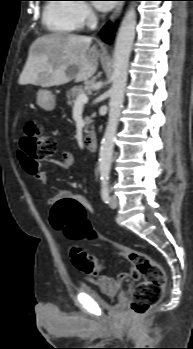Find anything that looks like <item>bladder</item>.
<instances>
[{
	"label": "bladder",
	"instance_id": "1",
	"mask_svg": "<svg viewBox=\"0 0 193 349\" xmlns=\"http://www.w3.org/2000/svg\"><path fill=\"white\" fill-rule=\"evenodd\" d=\"M84 292L88 294L97 304L106 308L111 307V305L107 302V299L98 290L86 287L84 288ZM122 295V293L117 294L113 298V301H119L122 298Z\"/></svg>",
	"mask_w": 193,
	"mask_h": 349
}]
</instances>
